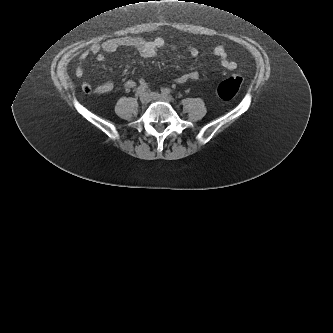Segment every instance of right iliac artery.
Here are the masks:
<instances>
[{"mask_svg":"<svg viewBox=\"0 0 333 333\" xmlns=\"http://www.w3.org/2000/svg\"><path fill=\"white\" fill-rule=\"evenodd\" d=\"M146 88H147V87L142 86V85L139 86V87L137 88L136 94H137V95H141V94H143V92L146 91Z\"/></svg>","mask_w":333,"mask_h":333,"instance_id":"82829eb1","label":"right iliac artery"}]
</instances>
